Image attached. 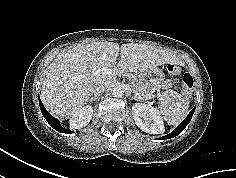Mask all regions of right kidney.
I'll list each match as a JSON object with an SVG mask.
<instances>
[{"label": "right kidney", "instance_id": "right-kidney-1", "mask_svg": "<svg viewBox=\"0 0 236 178\" xmlns=\"http://www.w3.org/2000/svg\"><path fill=\"white\" fill-rule=\"evenodd\" d=\"M93 116V109L91 106H84L73 117L70 118L69 125L73 129L85 127Z\"/></svg>", "mask_w": 236, "mask_h": 178}]
</instances>
